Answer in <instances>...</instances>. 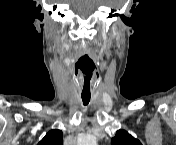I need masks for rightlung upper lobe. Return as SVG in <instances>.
Masks as SVG:
<instances>
[{"label":"right lung upper lobe","mask_w":176,"mask_h":145,"mask_svg":"<svg viewBox=\"0 0 176 145\" xmlns=\"http://www.w3.org/2000/svg\"><path fill=\"white\" fill-rule=\"evenodd\" d=\"M62 131L54 129L49 131L38 145H62Z\"/></svg>","instance_id":"1"}]
</instances>
